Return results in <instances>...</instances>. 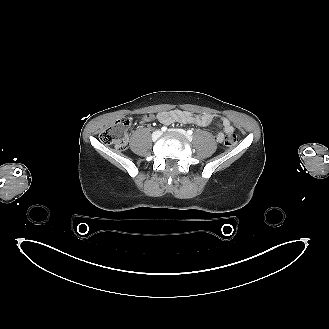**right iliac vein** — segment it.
I'll return each mask as SVG.
<instances>
[{
    "label": "right iliac vein",
    "mask_w": 329,
    "mask_h": 329,
    "mask_svg": "<svg viewBox=\"0 0 329 329\" xmlns=\"http://www.w3.org/2000/svg\"><path fill=\"white\" fill-rule=\"evenodd\" d=\"M162 133L160 131H155L152 135L153 140L155 141Z\"/></svg>",
    "instance_id": "63e3f726"
}]
</instances>
